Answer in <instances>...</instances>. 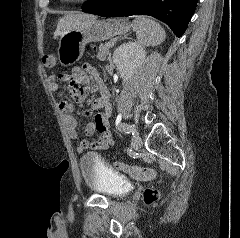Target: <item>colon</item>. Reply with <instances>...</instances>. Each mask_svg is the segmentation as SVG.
<instances>
[{
    "instance_id": "5ec220e1",
    "label": "colon",
    "mask_w": 240,
    "mask_h": 238,
    "mask_svg": "<svg viewBox=\"0 0 240 238\" xmlns=\"http://www.w3.org/2000/svg\"><path fill=\"white\" fill-rule=\"evenodd\" d=\"M42 63L45 68L51 69L56 65V57L54 54H46L42 58ZM115 166L129 174L131 177L138 180H150L154 177V170L148 167H140V166H130L122 163H115ZM159 197V193L155 189H147L144 193V200L146 203L150 204L156 201Z\"/></svg>"
}]
</instances>
